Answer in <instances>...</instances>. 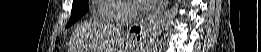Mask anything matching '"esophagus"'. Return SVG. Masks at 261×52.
<instances>
[{
	"label": "esophagus",
	"mask_w": 261,
	"mask_h": 52,
	"mask_svg": "<svg viewBox=\"0 0 261 52\" xmlns=\"http://www.w3.org/2000/svg\"><path fill=\"white\" fill-rule=\"evenodd\" d=\"M168 3V0H160L154 10H152L145 17L140 18L129 28L128 33L135 39L146 35L150 26L154 23L156 18L165 10Z\"/></svg>",
	"instance_id": "34e87169"
}]
</instances>
